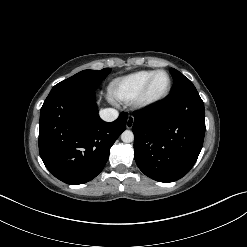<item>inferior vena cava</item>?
I'll use <instances>...</instances> for the list:
<instances>
[{"label":"inferior vena cava","mask_w":247,"mask_h":247,"mask_svg":"<svg viewBox=\"0 0 247 247\" xmlns=\"http://www.w3.org/2000/svg\"><path fill=\"white\" fill-rule=\"evenodd\" d=\"M118 116H119L118 111L112 108H106L100 111L101 119L106 122H112L116 120Z\"/></svg>","instance_id":"inferior-vena-cava-1"}]
</instances>
